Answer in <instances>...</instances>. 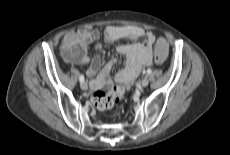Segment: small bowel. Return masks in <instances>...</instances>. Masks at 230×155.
I'll return each instance as SVG.
<instances>
[{
	"instance_id": "obj_1",
	"label": "small bowel",
	"mask_w": 230,
	"mask_h": 155,
	"mask_svg": "<svg viewBox=\"0 0 230 155\" xmlns=\"http://www.w3.org/2000/svg\"><path fill=\"white\" fill-rule=\"evenodd\" d=\"M100 36V31L97 29H82L71 32L64 39V58L80 66L90 64L87 69V75L92 78L90 81L92 91L104 87L111 88L115 84H122L129 88L141 69L144 66L151 65L153 62L152 45L155 42V35L144 28L129 25H112L105 29L104 40L107 43L121 39L130 40L129 43L121 44L117 47L118 53L125 56L126 61L124 68L113 79L110 78V72L116 64L115 59H111L102 67V58L100 56L90 59L86 54V46L96 42ZM70 37H76L79 40L81 48L79 54H74L72 48L68 53L66 52L67 42ZM96 47L100 48V45L97 44Z\"/></svg>"
}]
</instances>
